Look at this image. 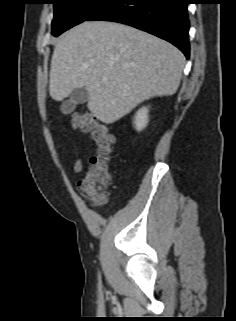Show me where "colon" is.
Here are the masks:
<instances>
[{
  "mask_svg": "<svg viewBox=\"0 0 236 321\" xmlns=\"http://www.w3.org/2000/svg\"><path fill=\"white\" fill-rule=\"evenodd\" d=\"M72 126L89 133L96 145L94 155L78 184L80 194L94 205L104 203L107 188L111 182L110 163L113 153V138L107 128L98 123L91 114L74 113Z\"/></svg>",
  "mask_w": 236,
  "mask_h": 321,
  "instance_id": "5ec220e1",
  "label": "colon"
}]
</instances>
